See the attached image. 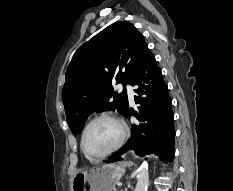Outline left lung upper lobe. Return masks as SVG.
<instances>
[{
	"label": "left lung upper lobe",
	"mask_w": 233,
	"mask_h": 191,
	"mask_svg": "<svg viewBox=\"0 0 233 191\" xmlns=\"http://www.w3.org/2000/svg\"><path fill=\"white\" fill-rule=\"evenodd\" d=\"M150 53L142 34L127 21L111 24L75 52L62 91L67 123L74 135L95 111L126 113V88L117 94L112 83L129 84Z\"/></svg>",
	"instance_id": "left-lung-upper-lobe-1"
}]
</instances>
